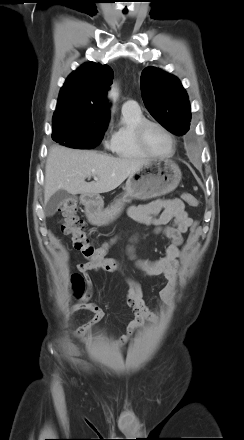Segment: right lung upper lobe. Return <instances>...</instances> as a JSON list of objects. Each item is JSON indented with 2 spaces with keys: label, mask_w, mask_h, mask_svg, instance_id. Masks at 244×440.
<instances>
[{
  "label": "right lung upper lobe",
  "mask_w": 244,
  "mask_h": 440,
  "mask_svg": "<svg viewBox=\"0 0 244 440\" xmlns=\"http://www.w3.org/2000/svg\"><path fill=\"white\" fill-rule=\"evenodd\" d=\"M113 75L108 65L97 63H85L72 72L60 91L53 122L77 120L108 123L106 92Z\"/></svg>",
  "instance_id": "1"
}]
</instances>
